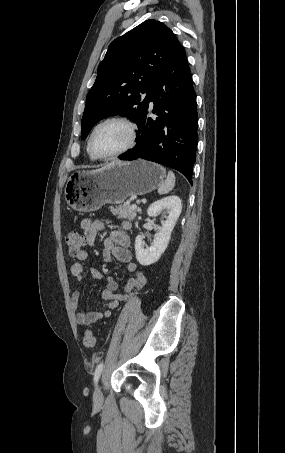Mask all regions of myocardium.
I'll list each match as a JSON object with an SVG mask.
<instances>
[{
	"label": "myocardium",
	"instance_id": "myocardium-1",
	"mask_svg": "<svg viewBox=\"0 0 285 453\" xmlns=\"http://www.w3.org/2000/svg\"><path fill=\"white\" fill-rule=\"evenodd\" d=\"M110 122H119V123L126 125L130 132V139H129V142L127 143V145L125 147H123L122 149H120L119 151L109 154V155H99L94 150L93 139H94V136H95L97 130L101 126H103L107 123H110ZM138 136H139V128H138L137 123L134 120H132L131 118L124 116V115H114V116H110V117L103 119L93 128V130L90 134L89 140H88V148H89V151L92 154V156L96 159H99V160L115 159V158H118V157L126 154L130 150H132L137 144Z\"/></svg>",
	"mask_w": 285,
	"mask_h": 453
}]
</instances>
